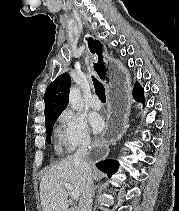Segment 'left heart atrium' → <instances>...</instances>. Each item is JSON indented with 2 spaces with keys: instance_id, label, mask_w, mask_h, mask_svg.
Here are the masks:
<instances>
[{
  "instance_id": "1",
  "label": "left heart atrium",
  "mask_w": 179,
  "mask_h": 211,
  "mask_svg": "<svg viewBox=\"0 0 179 211\" xmlns=\"http://www.w3.org/2000/svg\"><path fill=\"white\" fill-rule=\"evenodd\" d=\"M90 124L95 133L100 132L104 127V121L102 117L98 114H93L90 116Z\"/></svg>"
}]
</instances>
